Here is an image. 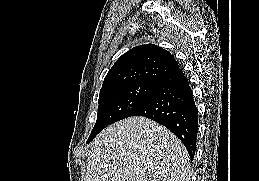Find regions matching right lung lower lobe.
Instances as JSON below:
<instances>
[{
  "instance_id": "1",
  "label": "right lung lower lobe",
  "mask_w": 259,
  "mask_h": 181,
  "mask_svg": "<svg viewBox=\"0 0 259 181\" xmlns=\"http://www.w3.org/2000/svg\"><path fill=\"white\" fill-rule=\"evenodd\" d=\"M132 116H144L164 125L182 141L193 158L198 132L197 107L180 68L163 78L152 96Z\"/></svg>"
}]
</instances>
